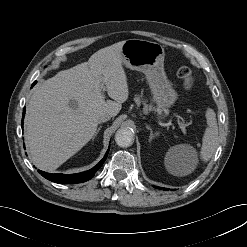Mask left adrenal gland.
I'll return each mask as SVG.
<instances>
[{"mask_svg":"<svg viewBox=\"0 0 247 247\" xmlns=\"http://www.w3.org/2000/svg\"><path fill=\"white\" fill-rule=\"evenodd\" d=\"M146 128L150 131V136H149V142H150L153 138H155L158 135V133H153L149 125H146Z\"/></svg>","mask_w":247,"mask_h":247,"instance_id":"obj_1","label":"left adrenal gland"}]
</instances>
